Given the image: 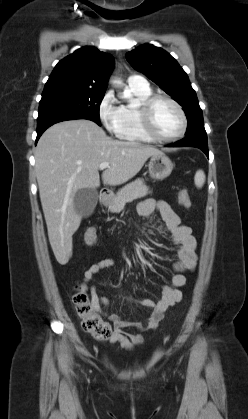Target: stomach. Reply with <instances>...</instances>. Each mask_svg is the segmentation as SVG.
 I'll list each match as a JSON object with an SVG mask.
<instances>
[{"mask_svg":"<svg viewBox=\"0 0 248 419\" xmlns=\"http://www.w3.org/2000/svg\"><path fill=\"white\" fill-rule=\"evenodd\" d=\"M173 167L172 161L165 154L151 156L148 164L150 177L155 180L167 178L171 174Z\"/></svg>","mask_w":248,"mask_h":419,"instance_id":"stomach-1","label":"stomach"}]
</instances>
